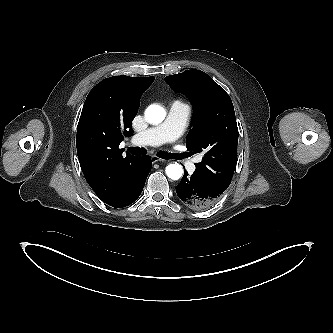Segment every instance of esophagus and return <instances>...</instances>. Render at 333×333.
Instances as JSON below:
<instances>
[{"mask_svg":"<svg viewBox=\"0 0 333 333\" xmlns=\"http://www.w3.org/2000/svg\"><path fill=\"white\" fill-rule=\"evenodd\" d=\"M151 161L152 163H156V162H161V161H164L163 159L159 158L158 156H151Z\"/></svg>","mask_w":333,"mask_h":333,"instance_id":"34e87169","label":"esophagus"}]
</instances>
